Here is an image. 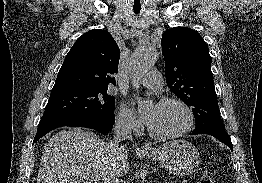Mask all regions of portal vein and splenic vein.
<instances>
[{
    "instance_id": "18ae733b",
    "label": "portal vein and splenic vein",
    "mask_w": 262,
    "mask_h": 183,
    "mask_svg": "<svg viewBox=\"0 0 262 183\" xmlns=\"http://www.w3.org/2000/svg\"><path fill=\"white\" fill-rule=\"evenodd\" d=\"M95 180H102L104 183H120L118 178L108 177L105 175H96Z\"/></svg>"
}]
</instances>
